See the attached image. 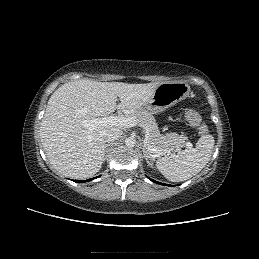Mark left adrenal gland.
<instances>
[{
    "label": "left adrenal gland",
    "instance_id": "1",
    "mask_svg": "<svg viewBox=\"0 0 259 259\" xmlns=\"http://www.w3.org/2000/svg\"><path fill=\"white\" fill-rule=\"evenodd\" d=\"M142 151H143V155H144V158H145L147 164L150 165V162L148 160V158H150V156H149V153L147 152V150H146L144 145H142Z\"/></svg>",
    "mask_w": 259,
    "mask_h": 259
}]
</instances>
